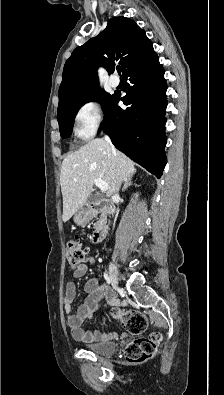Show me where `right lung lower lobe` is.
<instances>
[{"mask_svg": "<svg viewBox=\"0 0 224 395\" xmlns=\"http://www.w3.org/2000/svg\"><path fill=\"white\" fill-rule=\"evenodd\" d=\"M123 76L130 82L126 95L121 98L113 94L99 132L103 128L117 149L160 178L166 165L164 69L152 49ZM120 100L128 106L126 109L118 106Z\"/></svg>", "mask_w": 224, "mask_h": 395, "instance_id": "1", "label": "right lung lower lobe"}]
</instances>
